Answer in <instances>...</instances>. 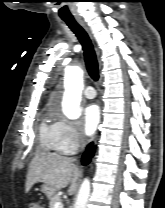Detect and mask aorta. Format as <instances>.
<instances>
[{"mask_svg":"<svg viewBox=\"0 0 165 208\" xmlns=\"http://www.w3.org/2000/svg\"><path fill=\"white\" fill-rule=\"evenodd\" d=\"M83 90V71L77 67L66 70L65 93L62 102L63 113L69 119L80 116L79 105ZM90 196V181L84 179L77 194L74 208H86Z\"/></svg>","mask_w":165,"mask_h":208,"instance_id":"1","label":"aorta"}]
</instances>
